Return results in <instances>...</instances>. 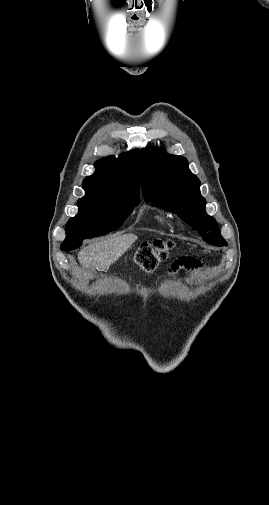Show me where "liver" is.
<instances>
[{
  "mask_svg": "<svg viewBox=\"0 0 269 505\" xmlns=\"http://www.w3.org/2000/svg\"><path fill=\"white\" fill-rule=\"evenodd\" d=\"M137 239L134 234H124L92 243L79 252L78 260L83 267L107 270Z\"/></svg>",
  "mask_w": 269,
  "mask_h": 505,
  "instance_id": "6515ba94",
  "label": "liver"
}]
</instances>
